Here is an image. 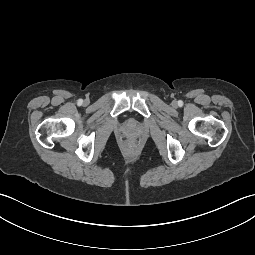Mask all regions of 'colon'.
Wrapping results in <instances>:
<instances>
[{
  "instance_id": "1",
  "label": "colon",
  "mask_w": 255,
  "mask_h": 255,
  "mask_svg": "<svg viewBox=\"0 0 255 255\" xmlns=\"http://www.w3.org/2000/svg\"><path fill=\"white\" fill-rule=\"evenodd\" d=\"M128 145H129L130 147L134 146V145H135V141L130 140V141L128 142Z\"/></svg>"
}]
</instances>
